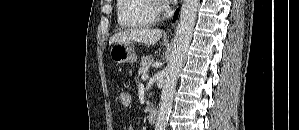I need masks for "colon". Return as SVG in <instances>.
Returning a JSON list of instances; mask_svg holds the SVG:
<instances>
[{"instance_id":"obj_1","label":"colon","mask_w":299,"mask_h":130,"mask_svg":"<svg viewBox=\"0 0 299 130\" xmlns=\"http://www.w3.org/2000/svg\"><path fill=\"white\" fill-rule=\"evenodd\" d=\"M119 101H120V104L123 106V107H128L130 106L131 104V101H132V95L130 92L128 91H123L120 96H119Z\"/></svg>"}]
</instances>
